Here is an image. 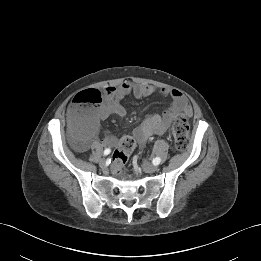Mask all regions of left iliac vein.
<instances>
[{
	"label": "left iliac vein",
	"mask_w": 261,
	"mask_h": 261,
	"mask_svg": "<svg viewBox=\"0 0 261 261\" xmlns=\"http://www.w3.org/2000/svg\"><path fill=\"white\" fill-rule=\"evenodd\" d=\"M141 166H142L143 171L146 173H153L158 170L157 165L151 164L147 161H143Z\"/></svg>",
	"instance_id": "1"
}]
</instances>
